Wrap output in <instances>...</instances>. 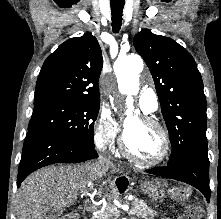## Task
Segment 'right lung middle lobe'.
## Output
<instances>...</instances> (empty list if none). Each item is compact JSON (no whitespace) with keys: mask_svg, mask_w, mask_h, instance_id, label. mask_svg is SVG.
Here are the masks:
<instances>
[{"mask_svg":"<svg viewBox=\"0 0 221 219\" xmlns=\"http://www.w3.org/2000/svg\"><path fill=\"white\" fill-rule=\"evenodd\" d=\"M35 107L28 130L41 129L88 147L94 146V122L100 102L45 100Z\"/></svg>","mask_w":221,"mask_h":219,"instance_id":"right-lung-middle-lobe-1","label":"right lung middle lobe"}]
</instances>
